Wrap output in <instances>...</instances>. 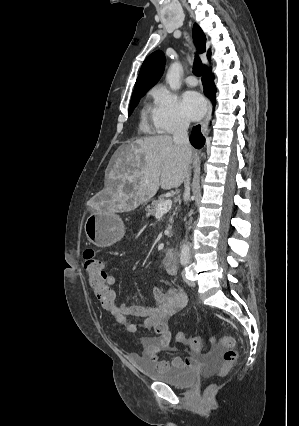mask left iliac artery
<instances>
[{"label":"left iliac artery","instance_id":"obj_1","mask_svg":"<svg viewBox=\"0 0 299 426\" xmlns=\"http://www.w3.org/2000/svg\"><path fill=\"white\" fill-rule=\"evenodd\" d=\"M187 270V269H186ZM192 277V274H190V276H189V278H191Z\"/></svg>","mask_w":299,"mask_h":426}]
</instances>
